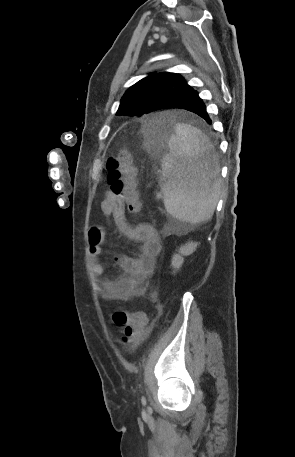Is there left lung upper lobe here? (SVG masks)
Segmentation results:
<instances>
[{
	"label": "left lung upper lobe",
	"instance_id": "1",
	"mask_svg": "<svg viewBox=\"0 0 295 457\" xmlns=\"http://www.w3.org/2000/svg\"><path fill=\"white\" fill-rule=\"evenodd\" d=\"M188 87L179 74L150 73L125 92L117 115L141 116L150 113L161 100Z\"/></svg>",
	"mask_w": 295,
	"mask_h": 457
}]
</instances>
